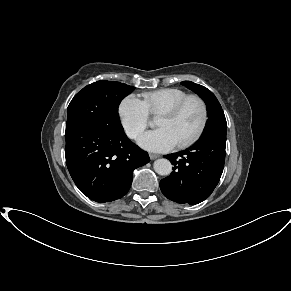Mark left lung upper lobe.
Here are the masks:
<instances>
[{"label":"left lung upper lobe","instance_id":"obj_1","mask_svg":"<svg viewBox=\"0 0 291 291\" xmlns=\"http://www.w3.org/2000/svg\"><path fill=\"white\" fill-rule=\"evenodd\" d=\"M182 84L199 95L207 105L208 120L201 137L208 135L226 136L225 115L215 95L206 87L191 81H183Z\"/></svg>","mask_w":291,"mask_h":291}]
</instances>
